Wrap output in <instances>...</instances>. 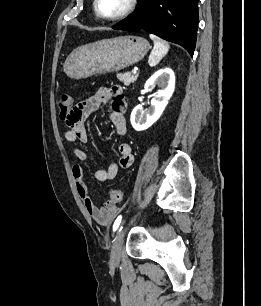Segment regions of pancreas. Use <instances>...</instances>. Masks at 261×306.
<instances>
[{"label":"pancreas","mask_w":261,"mask_h":306,"mask_svg":"<svg viewBox=\"0 0 261 306\" xmlns=\"http://www.w3.org/2000/svg\"><path fill=\"white\" fill-rule=\"evenodd\" d=\"M117 78L119 79V81L123 82L124 85L128 86L137 80L138 74H131L129 72L124 73V74L119 73L117 74Z\"/></svg>","instance_id":"pancreas-1"}]
</instances>
